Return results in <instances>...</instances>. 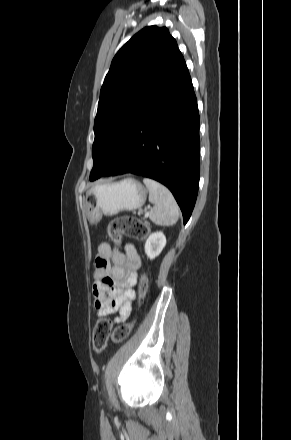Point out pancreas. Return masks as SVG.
I'll return each mask as SVG.
<instances>
[{
	"instance_id": "pancreas-1",
	"label": "pancreas",
	"mask_w": 291,
	"mask_h": 440,
	"mask_svg": "<svg viewBox=\"0 0 291 440\" xmlns=\"http://www.w3.org/2000/svg\"><path fill=\"white\" fill-rule=\"evenodd\" d=\"M144 225H145V226H148V225H149V223H148L147 221H145V222H144Z\"/></svg>"
}]
</instances>
